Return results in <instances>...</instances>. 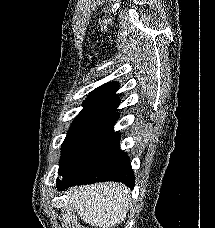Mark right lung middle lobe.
Returning a JSON list of instances; mask_svg holds the SVG:
<instances>
[{
  "instance_id": "dd1d6c3e",
  "label": "right lung middle lobe",
  "mask_w": 215,
  "mask_h": 228,
  "mask_svg": "<svg viewBox=\"0 0 215 228\" xmlns=\"http://www.w3.org/2000/svg\"><path fill=\"white\" fill-rule=\"evenodd\" d=\"M114 123L94 122L70 128L61 146L58 174L63 178L88 160L120 134L113 131ZM60 179H57V183Z\"/></svg>"
}]
</instances>
